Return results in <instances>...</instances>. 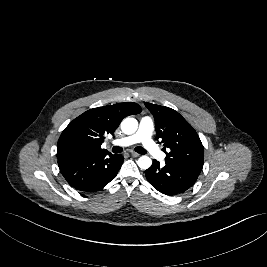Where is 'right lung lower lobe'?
<instances>
[{"label": "right lung lower lobe", "mask_w": 267, "mask_h": 267, "mask_svg": "<svg viewBox=\"0 0 267 267\" xmlns=\"http://www.w3.org/2000/svg\"><path fill=\"white\" fill-rule=\"evenodd\" d=\"M123 160L122 155L108 153L65 159L59 161L58 166L72 187L79 191L95 192L116 177Z\"/></svg>", "instance_id": "98d812e1"}]
</instances>
